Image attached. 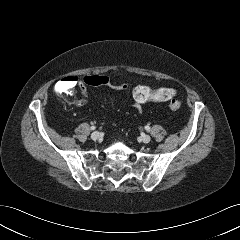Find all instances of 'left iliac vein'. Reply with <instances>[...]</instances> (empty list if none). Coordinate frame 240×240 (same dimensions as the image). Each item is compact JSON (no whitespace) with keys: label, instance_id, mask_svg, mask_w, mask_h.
Returning a JSON list of instances; mask_svg holds the SVG:
<instances>
[{"label":"left iliac vein","instance_id":"1","mask_svg":"<svg viewBox=\"0 0 240 240\" xmlns=\"http://www.w3.org/2000/svg\"><path fill=\"white\" fill-rule=\"evenodd\" d=\"M141 140L144 142V143H149L151 141V137L149 135H142L141 136Z\"/></svg>","mask_w":240,"mask_h":240}]
</instances>
